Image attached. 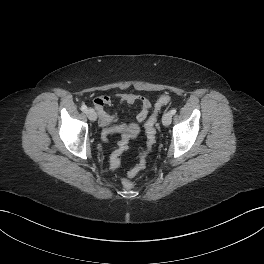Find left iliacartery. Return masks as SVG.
<instances>
[{"label": "left iliac artery", "mask_w": 264, "mask_h": 264, "mask_svg": "<svg viewBox=\"0 0 264 264\" xmlns=\"http://www.w3.org/2000/svg\"><path fill=\"white\" fill-rule=\"evenodd\" d=\"M170 113H171L172 115H174V114L176 113V109L173 108V109L170 111Z\"/></svg>", "instance_id": "obj_1"}]
</instances>
